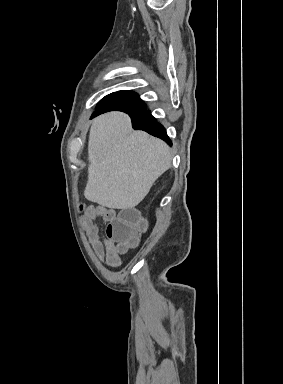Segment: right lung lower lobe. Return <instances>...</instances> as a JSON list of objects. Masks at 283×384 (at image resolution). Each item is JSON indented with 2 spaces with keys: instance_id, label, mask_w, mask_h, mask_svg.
<instances>
[{
  "instance_id": "98d812e1",
  "label": "right lung lower lobe",
  "mask_w": 283,
  "mask_h": 384,
  "mask_svg": "<svg viewBox=\"0 0 283 384\" xmlns=\"http://www.w3.org/2000/svg\"><path fill=\"white\" fill-rule=\"evenodd\" d=\"M122 111L131 117L132 126L135 130H144L147 133L159 137L166 141L168 144H172L171 140L167 136L166 130L164 127L156 121V119L151 115L150 111L146 110H136L128 107H116L105 110H97L93 113L92 118L98 116L102 113L109 111Z\"/></svg>"
}]
</instances>
